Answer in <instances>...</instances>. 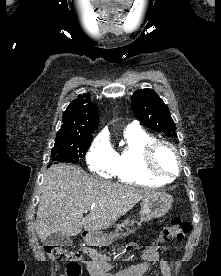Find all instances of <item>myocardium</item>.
Returning <instances> with one entry per match:
<instances>
[{
    "label": "myocardium",
    "instance_id": "obj_1",
    "mask_svg": "<svg viewBox=\"0 0 221 276\" xmlns=\"http://www.w3.org/2000/svg\"><path fill=\"white\" fill-rule=\"evenodd\" d=\"M161 146L168 147L173 154L175 155L177 161V170L174 173H166L160 170L156 164V153ZM143 165L146 172L152 177L163 179V180H171L177 177L182 169V159L179 154L178 149L171 142L164 139H153L148 142L143 148Z\"/></svg>",
    "mask_w": 221,
    "mask_h": 276
}]
</instances>
